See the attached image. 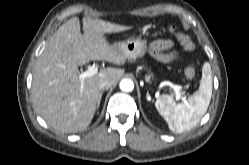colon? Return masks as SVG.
<instances>
[{
  "label": "colon",
  "mask_w": 249,
  "mask_h": 165,
  "mask_svg": "<svg viewBox=\"0 0 249 165\" xmlns=\"http://www.w3.org/2000/svg\"><path fill=\"white\" fill-rule=\"evenodd\" d=\"M169 32L174 35L181 43V45L187 49V50H192L194 48V44L192 42V40L190 39V37H188L187 35L181 33L180 31H178L175 27L171 26L169 28ZM185 76L187 79L189 80H193L196 76V71H195V67L194 65L190 64L186 70H185Z\"/></svg>",
  "instance_id": "5ec220e1"
}]
</instances>
